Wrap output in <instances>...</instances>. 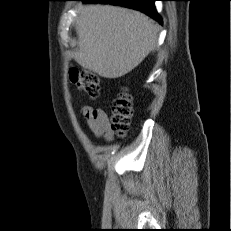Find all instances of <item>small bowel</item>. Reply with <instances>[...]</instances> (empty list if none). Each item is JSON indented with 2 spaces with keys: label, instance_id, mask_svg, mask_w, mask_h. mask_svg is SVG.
Returning <instances> with one entry per match:
<instances>
[{
  "label": "small bowel",
  "instance_id": "small-bowel-1",
  "mask_svg": "<svg viewBox=\"0 0 231 231\" xmlns=\"http://www.w3.org/2000/svg\"><path fill=\"white\" fill-rule=\"evenodd\" d=\"M82 114L87 127L94 136H110V121L104 110L85 106L82 108Z\"/></svg>",
  "mask_w": 231,
  "mask_h": 231
}]
</instances>
